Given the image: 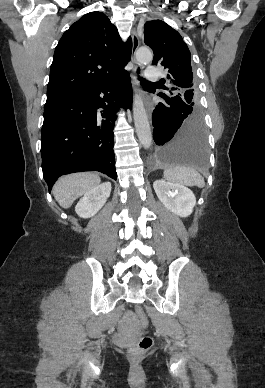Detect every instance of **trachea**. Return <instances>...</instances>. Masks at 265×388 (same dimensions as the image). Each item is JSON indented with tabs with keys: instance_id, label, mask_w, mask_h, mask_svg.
Masks as SVG:
<instances>
[{
	"instance_id": "1",
	"label": "trachea",
	"mask_w": 265,
	"mask_h": 388,
	"mask_svg": "<svg viewBox=\"0 0 265 388\" xmlns=\"http://www.w3.org/2000/svg\"><path fill=\"white\" fill-rule=\"evenodd\" d=\"M152 82H147L146 80L141 79V84H151Z\"/></svg>"
}]
</instances>
